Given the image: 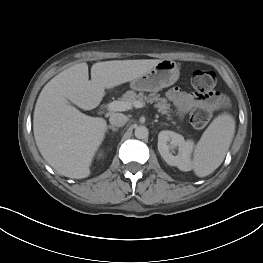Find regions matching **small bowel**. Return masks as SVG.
I'll use <instances>...</instances> for the list:
<instances>
[{
    "label": "small bowel",
    "mask_w": 263,
    "mask_h": 263,
    "mask_svg": "<svg viewBox=\"0 0 263 263\" xmlns=\"http://www.w3.org/2000/svg\"><path fill=\"white\" fill-rule=\"evenodd\" d=\"M167 98L174 104L181 115L187 113L197 106L211 105V99L202 98L196 93L185 92L178 87H174L168 90ZM214 99L216 100L218 105L220 102L219 94H216L214 96Z\"/></svg>",
    "instance_id": "c3829d8e"
}]
</instances>
